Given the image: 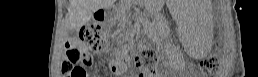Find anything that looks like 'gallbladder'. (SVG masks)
<instances>
[{"instance_id": "obj_1", "label": "gallbladder", "mask_w": 258, "mask_h": 77, "mask_svg": "<svg viewBox=\"0 0 258 77\" xmlns=\"http://www.w3.org/2000/svg\"><path fill=\"white\" fill-rule=\"evenodd\" d=\"M69 36L76 37L77 36V30L70 31Z\"/></svg>"}]
</instances>
